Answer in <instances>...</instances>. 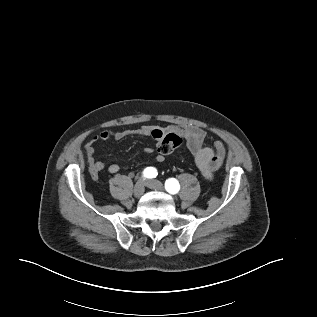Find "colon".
<instances>
[{"label":"colon","instance_id":"colon-1","mask_svg":"<svg viewBox=\"0 0 317 317\" xmlns=\"http://www.w3.org/2000/svg\"><path fill=\"white\" fill-rule=\"evenodd\" d=\"M182 145V137L178 132L167 133L158 144V151L163 155L170 154Z\"/></svg>","mask_w":317,"mask_h":317}]
</instances>
